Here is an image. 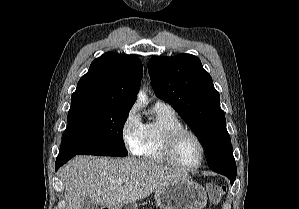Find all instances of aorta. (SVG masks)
<instances>
[{
	"label": "aorta",
	"instance_id": "aorta-1",
	"mask_svg": "<svg viewBox=\"0 0 299 209\" xmlns=\"http://www.w3.org/2000/svg\"><path fill=\"white\" fill-rule=\"evenodd\" d=\"M138 99H140V100H145V99H146V95L143 94V93H139V95H138Z\"/></svg>",
	"mask_w": 299,
	"mask_h": 209
}]
</instances>
